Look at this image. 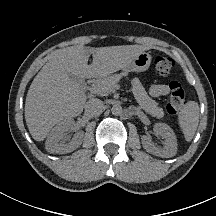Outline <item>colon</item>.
I'll return each mask as SVG.
<instances>
[{"label": "colon", "instance_id": "5ec220e1", "mask_svg": "<svg viewBox=\"0 0 216 216\" xmlns=\"http://www.w3.org/2000/svg\"><path fill=\"white\" fill-rule=\"evenodd\" d=\"M153 65L160 76L167 77L174 67V60L167 56L157 55L154 57ZM169 89L170 97L166 105V110L169 114L176 115L186 104L185 89L182 84L176 80H171Z\"/></svg>", "mask_w": 216, "mask_h": 216}]
</instances>
